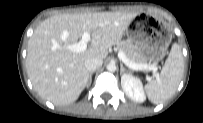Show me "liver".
Segmentation results:
<instances>
[{
  "instance_id": "obj_1",
  "label": "liver",
  "mask_w": 203,
  "mask_h": 123,
  "mask_svg": "<svg viewBox=\"0 0 203 123\" xmlns=\"http://www.w3.org/2000/svg\"><path fill=\"white\" fill-rule=\"evenodd\" d=\"M138 13L98 12L61 14L45 19L28 41L26 67L35 91L55 105L76 101L88 84L85 61L105 59L118 44ZM84 32L90 47L83 52L70 49Z\"/></svg>"
}]
</instances>
